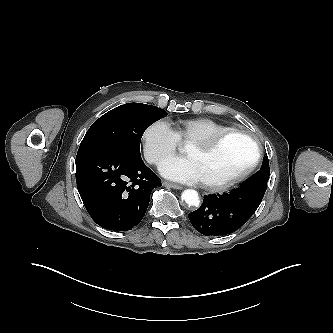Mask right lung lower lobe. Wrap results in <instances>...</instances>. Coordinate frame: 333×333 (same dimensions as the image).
Returning a JSON list of instances; mask_svg holds the SVG:
<instances>
[{
	"mask_svg": "<svg viewBox=\"0 0 333 333\" xmlns=\"http://www.w3.org/2000/svg\"><path fill=\"white\" fill-rule=\"evenodd\" d=\"M75 162L79 194L99 226L128 231L141 222L151 189L161 185L141 157L96 147L79 149Z\"/></svg>",
	"mask_w": 333,
	"mask_h": 333,
	"instance_id": "obj_1",
	"label": "right lung lower lobe"
}]
</instances>
